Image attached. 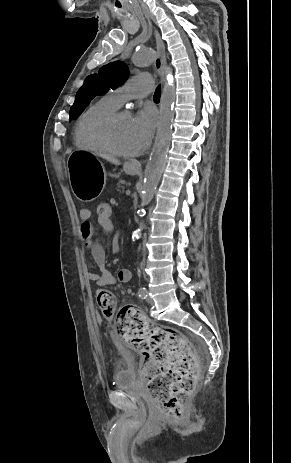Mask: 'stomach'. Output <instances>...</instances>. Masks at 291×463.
<instances>
[{"mask_svg": "<svg viewBox=\"0 0 291 463\" xmlns=\"http://www.w3.org/2000/svg\"><path fill=\"white\" fill-rule=\"evenodd\" d=\"M67 170L72 192L77 199L90 202L99 196L107 173L103 163L95 154L73 151L67 159ZM124 171L134 175L138 172V168L126 163Z\"/></svg>", "mask_w": 291, "mask_h": 463, "instance_id": "1", "label": "stomach"}]
</instances>
